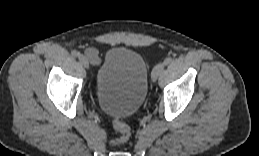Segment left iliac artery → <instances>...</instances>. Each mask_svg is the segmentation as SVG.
Segmentation results:
<instances>
[{
    "label": "left iliac artery",
    "mask_w": 259,
    "mask_h": 156,
    "mask_svg": "<svg viewBox=\"0 0 259 156\" xmlns=\"http://www.w3.org/2000/svg\"><path fill=\"white\" fill-rule=\"evenodd\" d=\"M172 62V58L171 57H167L165 60H164V65H168Z\"/></svg>",
    "instance_id": "1"
}]
</instances>
